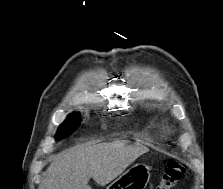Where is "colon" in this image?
Segmentation results:
<instances>
[{"mask_svg":"<svg viewBox=\"0 0 223 189\" xmlns=\"http://www.w3.org/2000/svg\"><path fill=\"white\" fill-rule=\"evenodd\" d=\"M184 167L175 160L170 159L164 169L161 181L155 189H172L183 177Z\"/></svg>","mask_w":223,"mask_h":189,"instance_id":"obj_1","label":"colon"}]
</instances>
